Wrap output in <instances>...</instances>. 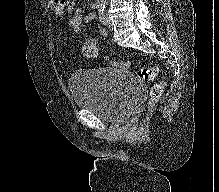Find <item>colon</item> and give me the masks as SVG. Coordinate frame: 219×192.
Here are the masks:
<instances>
[{"label": "colon", "instance_id": "colon-1", "mask_svg": "<svg viewBox=\"0 0 219 192\" xmlns=\"http://www.w3.org/2000/svg\"><path fill=\"white\" fill-rule=\"evenodd\" d=\"M81 54L86 59H95L99 55L98 43L95 39H88L81 48ZM121 67H128L129 62L114 63ZM159 69L158 67H142L137 71L138 78L142 81H152L155 79ZM166 81L155 83L149 93L150 104H155L163 95L166 88Z\"/></svg>", "mask_w": 219, "mask_h": 192}]
</instances>
